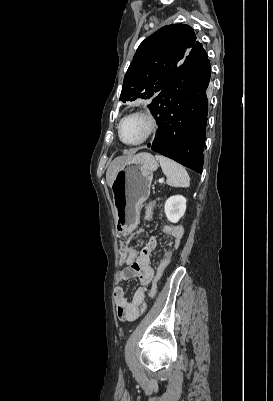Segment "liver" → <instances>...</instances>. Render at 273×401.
<instances>
[{"label": "liver", "instance_id": "6515ba94", "mask_svg": "<svg viewBox=\"0 0 273 401\" xmlns=\"http://www.w3.org/2000/svg\"><path fill=\"white\" fill-rule=\"evenodd\" d=\"M136 150L137 148H132L131 152H126L124 156H116V158L110 162L106 170V182L109 186H112L118 170H120L125 162H128V160H136V158H138L140 152L139 154H135Z\"/></svg>", "mask_w": 273, "mask_h": 401}]
</instances>
